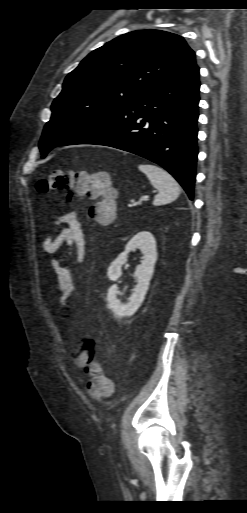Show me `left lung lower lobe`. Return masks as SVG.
I'll return each instance as SVG.
<instances>
[{"mask_svg": "<svg viewBox=\"0 0 247 513\" xmlns=\"http://www.w3.org/2000/svg\"><path fill=\"white\" fill-rule=\"evenodd\" d=\"M199 87L194 57L180 73L63 145H104L149 159L193 200Z\"/></svg>", "mask_w": 247, "mask_h": 513, "instance_id": "left-lung-lower-lobe-1", "label": "left lung lower lobe"}]
</instances>
